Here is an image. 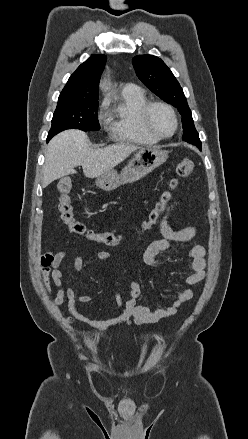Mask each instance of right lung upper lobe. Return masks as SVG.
Returning <instances> with one entry per match:
<instances>
[{
  "label": "right lung upper lobe",
  "instance_id": "right-lung-upper-lobe-1",
  "mask_svg": "<svg viewBox=\"0 0 248 439\" xmlns=\"http://www.w3.org/2000/svg\"><path fill=\"white\" fill-rule=\"evenodd\" d=\"M105 61V55H92L70 76L59 98L98 99V83Z\"/></svg>",
  "mask_w": 248,
  "mask_h": 439
}]
</instances>
